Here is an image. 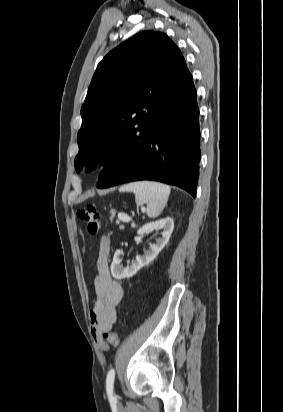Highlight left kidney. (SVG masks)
I'll use <instances>...</instances> for the list:
<instances>
[{
  "instance_id": "obj_1",
  "label": "left kidney",
  "mask_w": 283,
  "mask_h": 412,
  "mask_svg": "<svg viewBox=\"0 0 283 412\" xmlns=\"http://www.w3.org/2000/svg\"><path fill=\"white\" fill-rule=\"evenodd\" d=\"M174 229V221L171 218L160 219L155 222L147 223L142 226L137 233L139 235H144L150 233L154 230H162L161 238L152 244L148 251L142 256H137L135 261L127 267L120 265L122 254L121 250H117L113 257V262L111 264V274L117 279L121 280L123 278H130L135 275L142 267L150 264L159 254V252L168 243L170 236Z\"/></svg>"
}]
</instances>
